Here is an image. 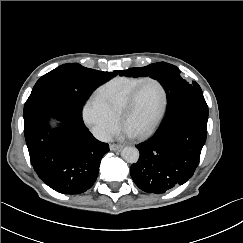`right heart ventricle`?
<instances>
[{
	"label": "right heart ventricle",
	"instance_id": "1",
	"mask_svg": "<svg viewBox=\"0 0 243 243\" xmlns=\"http://www.w3.org/2000/svg\"><path fill=\"white\" fill-rule=\"evenodd\" d=\"M142 79L144 77H117L102 85L94 94L114 115L119 116L126 98Z\"/></svg>",
	"mask_w": 243,
	"mask_h": 243
}]
</instances>
